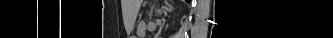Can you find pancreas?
<instances>
[{
    "label": "pancreas",
    "mask_w": 333,
    "mask_h": 38,
    "mask_svg": "<svg viewBox=\"0 0 333 38\" xmlns=\"http://www.w3.org/2000/svg\"><path fill=\"white\" fill-rule=\"evenodd\" d=\"M144 28L145 26L143 24H140L139 25V32H140V35H143L144 34Z\"/></svg>",
    "instance_id": "cf45deb5"
}]
</instances>
